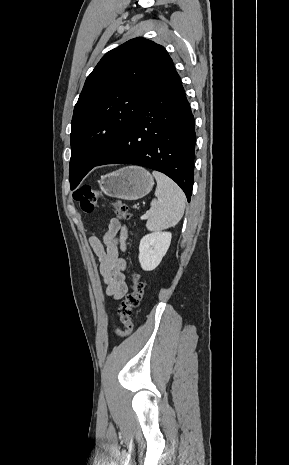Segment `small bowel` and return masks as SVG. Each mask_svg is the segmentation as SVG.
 Here are the masks:
<instances>
[{
    "mask_svg": "<svg viewBox=\"0 0 289 465\" xmlns=\"http://www.w3.org/2000/svg\"><path fill=\"white\" fill-rule=\"evenodd\" d=\"M125 237L126 231L121 223L116 219H111L105 231L89 239L90 246L99 262L105 292L113 299H121L128 291L124 273L125 262L120 257Z\"/></svg>",
    "mask_w": 289,
    "mask_h": 465,
    "instance_id": "small-bowel-1",
    "label": "small bowel"
}]
</instances>
